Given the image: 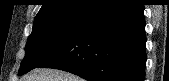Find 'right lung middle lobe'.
Returning <instances> with one entry per match:
<instances>
[{
  "label": "right lung middle lobe",
  "instance_id": "obj_1",
  "mask_svg": "<svg viewBox=\"0 0 169 81\" xmlns=\"http://www.w3.org/2000/svg\"><path fill=\"white\" fill-rule=\"evenodd\" d=\"M88 19L72 15L35 20L19 75L38 67L61 48Z\"/></svg>",
  "mask_w": 169,
  "mask_h": 81
}]
</instances>
